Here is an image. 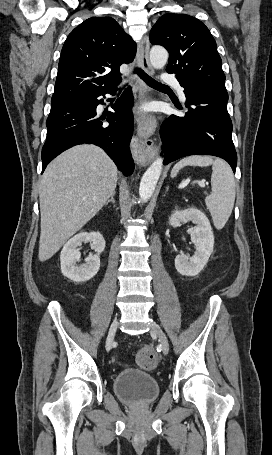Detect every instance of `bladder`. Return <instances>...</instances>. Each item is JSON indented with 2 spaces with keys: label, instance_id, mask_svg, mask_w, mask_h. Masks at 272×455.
Masks as SVG:
<instances>
[{
  "label": "bladder",
  "instance_id": "31cf9c89",
  "mask_svg": "<svg viewBox=\"0 0 272 455\" xmlns=\"http://www.w3.org/2000/svg\"><path fill=\"white\" fill-rule=\"evenodd\" d=\"M116 396L126 404L144 406L152 403L159 395V384L149 373L126 369L113 380Z\"/></svg>",
  "mask_w": 272,
  "mask_h": 455
}]
</instances>
